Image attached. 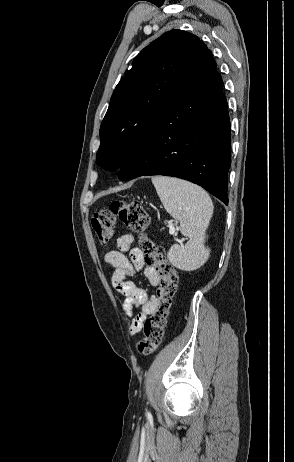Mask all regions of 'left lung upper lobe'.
Returning <instances> with one entry per match:
<instances>
[{
    "mask_svg": "<svg viewBox=\"0 0 294 462\" xmlns=\"http://www.w3.org/2000/svg\"><path fill=\"white\" fill-rule=\"evenodd\" d=\"M216 67L211 51L189 32L171 30L150 43L113 92L100 127L98 163L120 168L178 94Z\"/></svg>",
    "mask_w": 294,
    "mask_h": 462,
    "instance_id": "left-lung-upper-lobe-1",
    "label": "left lung upper lobe"
}]
</instances>
